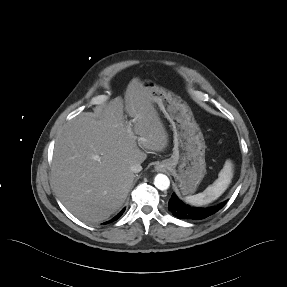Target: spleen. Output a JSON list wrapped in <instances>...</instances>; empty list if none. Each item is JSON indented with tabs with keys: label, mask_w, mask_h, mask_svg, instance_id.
I'll return each mask as SVG.
<instances>
[{
	"label": "spleen",
	"mask_w": 287,
	"mask_h": 287,
	"mask_svg": "<svg viewBox=\"0 0 287 287\" xmlns=\"http://www.w3.org/2000/svg\"><path fill=\"white\" fill-rule=\"evenodd\" d=\"M233 177V164L227 160L218 174V179L202 193L185 197V201L194 206L209 204L219 198L228 188Z\"/></svg>",
	"instance_id": "3e777b00"
}]
</instances>
